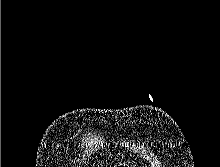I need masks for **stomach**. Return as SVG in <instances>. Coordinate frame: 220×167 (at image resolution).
Returning <instances> with one entry per match:
<instances>
[{
	"instance_id": "1",
	"label": "stomach",
	"mask_w": 220,
	"mask_h": 167,
	"mask_svg": "<svg viewBox=\"0 0 220 167\" xmlns=\"http://www.w3.org/2000/svg\"><path fill=\"white\" fill-rule=\"evenodd\" d=\"M115 167H131L130 163L129 162H118L115 164Z\"/></svg>"
}]
</instances>
